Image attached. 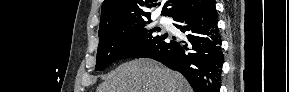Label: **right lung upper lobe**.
Wrapping results in <instances>:
<instances>
[{
    "label": "right lung upper lobe",
    "mask_w": 289,
    "mask_h": 92,
    "mask_svg": "<svg viewBox=\"0 0 289 92\" xmlns=\"http://www.w3.org/2000/svg\"><path fill=\"white\" fill-rule=\"evenodd\" d=\"M210 0H172L164 4L161 15L174 18L177 15L196 10ZM160 5L156 0H104L99 31L125 21L149 19L147 9Z\"/></svg>",
    "instance_id": "1"
}]
</instances>
